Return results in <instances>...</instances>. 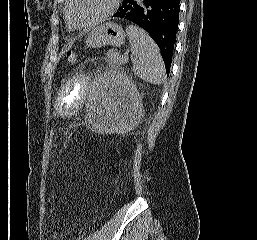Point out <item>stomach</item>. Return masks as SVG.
<instances>
[{
  "label": "stomach",
  "instance_id": "stomach-1",
  "mask_svg": "<svg viewBox=\"0 0 257 240\" xmlns=\"http://www.w3.org/2000/svg\"><path fill=\"white\" fill-rule=\"evenodd\" d=\"M124 40L125 32L122 27L113 22H106L94 27L85 43L87 47L99 48L104 45L120 46Z\"/></svg>",
  "mask_w": 257,
  "mask_h": 240
}]
</instances>
